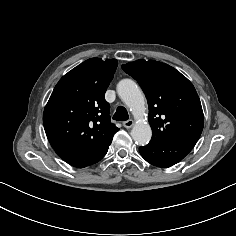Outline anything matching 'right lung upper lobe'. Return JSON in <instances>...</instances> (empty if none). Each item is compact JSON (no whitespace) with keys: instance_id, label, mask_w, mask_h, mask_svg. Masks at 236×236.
<instances>
[{"instance_id":"cb5924a9","label":"right lung upper lobe","mask_w":236,"mask_h":236,"mask_svg":"<svg viewBox=\"0 0 236 236\" xmlns=\"http://www.w3.org/2000/svg\"><path fill=\"white\" fill-rule=\"evenodd\" d=\"M116 59L91 58L65 74L44 109L43 124L54 150L97 151L119 130L110 122L105 92L117 68Z\"/></svg>"}]
</instances>
